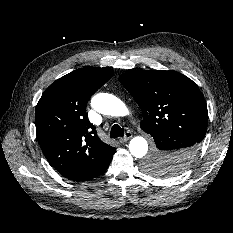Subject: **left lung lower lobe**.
<instances>
[{"label": "left lung lower lobe", "instance_id": "0a47b994", "mask_svg": "<svg viewBox=\"0 0 233 233\" xmlns=\"http://www.w3.org/2000/svg\"><path fill=\"white\" fill-rule=\"evenodd\" d=\"M152 137L156 144L154 149L169 154L170 156L167 158L182 170H185L190 165L197 154L196 144L193 138L183 133L158 132Z\"/></svg>", "mask_w": 233, "mask_h": 233}]
</instances>
